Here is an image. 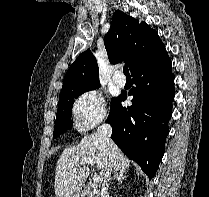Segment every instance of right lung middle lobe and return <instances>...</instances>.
Returning <instances> with one entry per match:
<instances>
[{
    "label": "right lung middle lobe",
    "mask_w": 209,
    "mask_h": 197,
    "mask_svg": "<svg viewBox=\"0 0 209 197\" xmlns=\"http://www.w3.org/2000/svg\"><path fill=\"white\" fill-rule=\"evenodd\" d=\"M99 87L100 83L77 86L65 89L60 93L53 138L58 137L72 128L71 113L74 99L84 92L94 90ZM114 99L115 98H113L112 101Z\"/></svg>",
    "instance_id": "dd1d6c3e"
}]
</instances>
